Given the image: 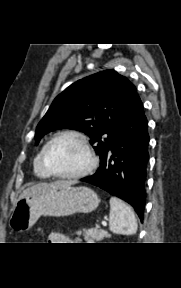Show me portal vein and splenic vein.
<instances>
[{
  "label": "portal vein and splenic vein",
  "mask_w": 181,
  "mask_h": 288,
  "mask_svg": "<svg viewBox=\"0 0 181 288\" xmlns=\"http://www.w3.org/2000/svg\"><path fill=\"white\" fill-rule=\"evenodd\" d=\"M102 226H103V227H106V226H107V223H106L105 221H103V222H102Z\"/></svg>",
  "instance_id": "obj_1"
}]
</instances>
